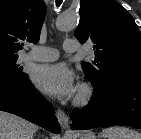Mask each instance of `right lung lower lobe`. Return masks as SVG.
Returning <instances> with one entry per match:
<instances>
[{
    "label": "right lung lower lobe",
    "mask_w": 141,
    "mask_h": 139,
    "mask_svg": "<svg viewBox=\"0 0 141 139\" xmlns=\"http://www.w3.org/2000/svg\"><path fill=\"white\" fill-rule=\"evenodd\" d=\"M0 110L18 115L53 133L60 132L52 105L28 78L17 83L0 84Z\"/></svg>",
    "instance_id": "right-lung-lower-lobe-1"
}]
</instances>
